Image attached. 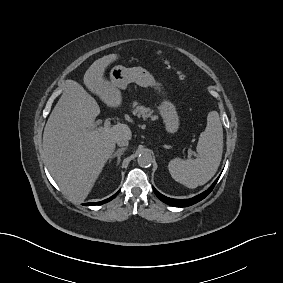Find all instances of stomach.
Wrapping results in <instances>:
<instances>
[{
  "mask_svg": "<svg viewBox=\"0 0 283 283\" xmlns=\"http://www.w3.org/2000/svg\"><path fill=\"white\" fill-rule=\"evenodd\" d=\"M110 81L120 89H125L129 83H136L144 88H154L161 92L162 84L146 69L142 67L126 68L117 65L111 69ZM158 111L163 119L165 130L174 134L178 131L180 120L175 106L168 100H163L158 106Z\"/></svg>",
  "mask_w": 283,
  "mask_h": 283,
  "instance_id": "obj_1",
  "label": "stomach"
}]
</instances>
